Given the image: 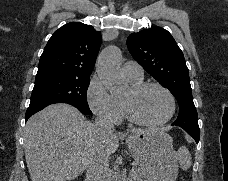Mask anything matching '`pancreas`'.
<instances>
[{
    "label": "pancreas",
    "mask_w": 228,
    "mask_h": 181,
    "mask_svg": "<svg viewBox=\"0 0 228 181\" xmlns=\"http://www.w3.org/2000/svg\"><path fill=\"white\" fill-rule=\"evenodd\" d=\"M130 175L132 177L131 181H140V173H138V171H132Z\"/></svg>",
    "instance_id": "cf45deb5"
}]
</instances>
